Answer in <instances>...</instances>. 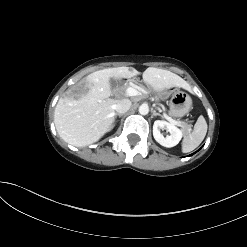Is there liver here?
<instances>
[{
	"instance_id": "1",
	"label": "liver",
	"mask_w": 247,
	"mask_h": 247,
	"mask_svg": "<svg viewBox=\"0 0 247 247\" xmlns=\"http://www.w3.org/2000/svg\"><path fill=\"white\" fill-rule=\"evenodd\" d=\"M134 68L117 67L89 74L82 84L87 93L75 99L69 90L55 107L54 123L59 136L76 147L97 142L111 130L117 100L111 95L110 78H132L139 75ZM143 81L160 92L172 87L189 89V84L180 76L164 69L149 67L143 72Z\"/></svg>"
}]
</instances>
